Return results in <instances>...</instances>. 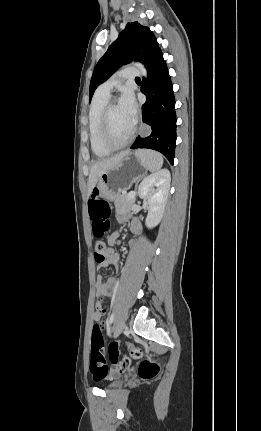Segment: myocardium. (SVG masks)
Returning <instances> with one entry per match:
<instances>
[{"mask_svg": "<svg viewBox=\"0 0 261 431\" xmlns=\"http://www.w3.org/2000/svg\"><path fill=\"white\" fill-rule=\"evenodd\" d=\"M115 104L116 103L114 101H110L107 103V105L104 107V109L102 111L101 122H100L101 141L106 148H108L112 151L119 150V149L127 146L131 142V140L133 139L134 134L136 132V125L133 124L131 131L129 132L128 136L123 141L117 142L112 138L111 130H110V123H109V116H110V111Z\"/></svg>", "mask_w": 261, "mask_h": 431, "instance_id": "myocardium-1", "label": "myocardium"}]
</instances>
